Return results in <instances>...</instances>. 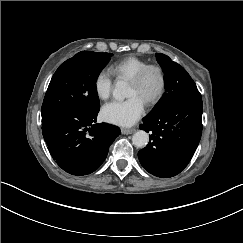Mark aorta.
Instances as JSON below:
<instances>
[{
    "instance_id": "1",
    "label": "aorta",
    "mask_w": 243,
    "mask_h": 243,
    "mask_svg": "<svg viewBox=\"0 0 243 243\" xmlns=\"http://www.w3.org/2000/svg\"><path fill=\"white\" fill-rule=\"evenodd\" d=\"M129 92V87L125 81L118 80L113 90V97L116 100L123 101ZM149 142V135L143 130L136 131L132 136V143L137 148H144Z\"/></svg>"
}]
</instances>
